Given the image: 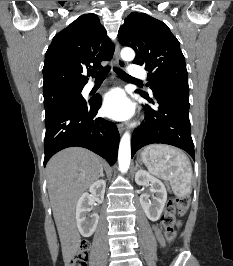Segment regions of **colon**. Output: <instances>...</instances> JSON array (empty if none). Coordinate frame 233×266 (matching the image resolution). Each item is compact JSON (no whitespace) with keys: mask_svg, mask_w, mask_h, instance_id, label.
<instances>
[{"mask_svg":"<svg viewBox=\"0 0 233 266\" xmlns=\"http://www.w3.org/2000/svg\"><path fill=\"white\" fill-rule=\"evenodd\" d=\"M190 199L187 196H176L168 200L161 222L165 228V237L172 241L176 236V227L180 224V218L189 208ZM89 243L86 240L80 242L76 253L67 260V266H87Z\"/></svg>","mask_w":233,"mask_h":266,"instance_id":"5ec220e1","label":"colon"}]
</instances>
